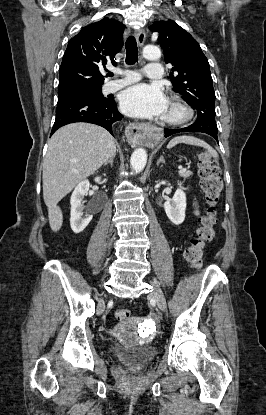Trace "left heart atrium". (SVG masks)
<instances>
[{
    "label": "left heart atrium",
    "instance_id": "39dd6f15",
    "mask_svg": "<svg viewBox=\"0 0 266 415\" xmlns=\"http://www.w3.org/2000/svg\"><path fill=\"white\" fill-rule=\"evenodd\" d=\"M124 113L136 118L163 116L168 100L158 84H136L123 91L120 98Z\"/></svg>",
    "mask_w": 266,
    "mask_h": 415
}]
</instances>
